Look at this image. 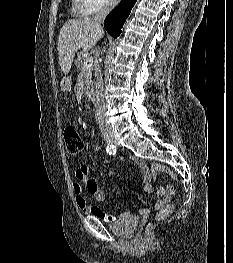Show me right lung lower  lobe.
Returning a JSON list of instances; mask_svg holds the SVG:
<instances>
[{
    "label": "right lung lower lobe",
    "instance_id": "1",
    "mask_svg": "<svg viewBox=\"0 0 233 263\" xmlns=\"http://www.w3.org/2000/svg\"><path fill=\"white\" fill-rule=\"evenodd\" d=\"M135 3L136 0H122L104 20L105 29L114 38L120 35L123 24L128 18Z\"/></svg>",
    "mask_w": 233,
    "mask_h": 263
}]
</instances>
